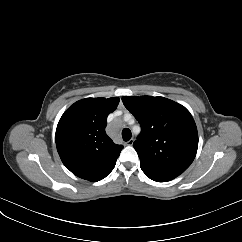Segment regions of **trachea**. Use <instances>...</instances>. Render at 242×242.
Returning <instances> with one entry per match:
<instances>
[{
    "label": "trachea",
    "instance_id": "3493384b",
    "mask_svg": "<svg viewBox=\"0 0 242 242\" xmlns=\"http://www.w3.org/2000/svg\"><path fill=\"white\" fill-rule=\"evenodd\" d=\"M131 136H132V134H131L130 129L124 128L122 130V138L124 141H129L131 139Z\"/></svg>",
    "mask_w": 242,
    "mask_h": 242
}]
</instances>
